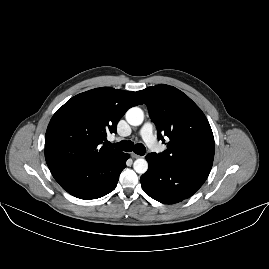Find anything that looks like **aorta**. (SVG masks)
<instances>
[{"instance_id": "1", "label": "aorta", "mask_w": 269, "mask_h": 269, "mask_svg": "<svg viewBox=\"0 0 269 269\" xmlns=\"http://www.w3.org/2000/svg\"><path fill=\"white\" fill-rule=\"evenodd\" d=\"M126 120L132 126H139L143 123L144 114L143 111L138 107L130 108L126 112ZM134 170L139 174H144L148 169V163L145 159H136L133 163Z\"/></svg>"}]
</instances>
